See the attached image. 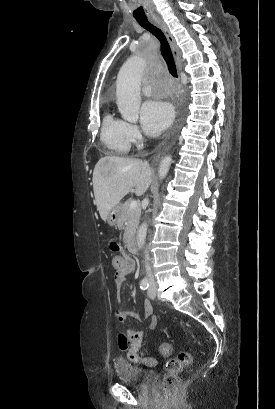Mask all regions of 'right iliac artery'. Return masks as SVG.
<instances>
[{"mask_svg":"<svg viewBox=\"0 0 275 409\" xmlns=\"http://www.w3.org/2000/svg\"><path fill=\"white\" fill-rule=\"evenodd\" d=\"M149 287V280L147 278H144L143 280H141L140 282V288L142 290H146Z\"/></svg>","mask_w":275,"mask_h":409,"instance_id":"82829eb1","label":"right iliac artery"}]
</instances>
